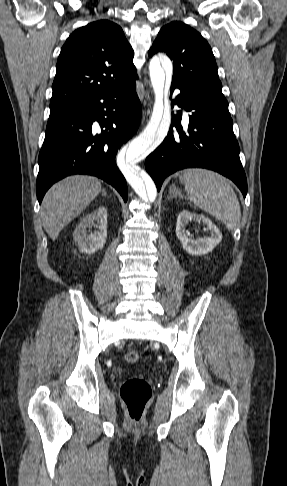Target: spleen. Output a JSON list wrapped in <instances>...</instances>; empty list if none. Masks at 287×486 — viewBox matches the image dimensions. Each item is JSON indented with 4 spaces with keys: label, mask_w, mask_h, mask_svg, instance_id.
<instances>
[{
    "label": "spleen",
    "mask_w": 287,
    "mask_h": 486,
    "mask_svg": "<svg viewBox=\"0 0 287 486\" xmlns=\"http://www.w3.org/2000/svg\"><path fill=\"white\" fill-rule=\"evenodd\" d=\"M188 198L200 209L234 231L241 219L238 198L222 175L206 169H190L184 174Z\"/></svg>",
    "instance_id": "3e777b00"
}]
</instances>
